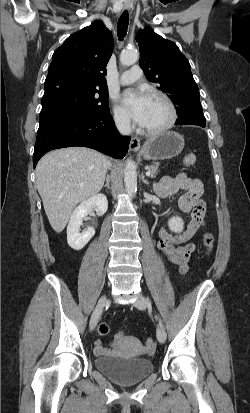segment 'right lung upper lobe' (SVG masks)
<instances>
[{
    "label": "right lung upper lobe",
    "instance_id": "1",
    "mask_svg": "<svg viewBox=\"0 0 250 413\" xmlns=\"http://www.w3.org/2000/svg\"><path fill=\"white\" fill-rule=\"evenodd\" d=\"M112 51V34L101 22L70 35L53 54L45 93L65 85L107 88L106 65Z\"/></svg>",
    "mask_w": 250,
    "mask_h": 413
}]
</instances>
